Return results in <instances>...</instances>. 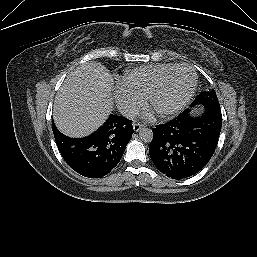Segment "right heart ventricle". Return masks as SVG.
Segmentation results:
<instances>
[{
  "label": "right heart ventricle",
  "instance_id": "obj_1",
  "mask_svg": "<svg viewBox=\"0 0 257 257\" xmlns=\"http://www.w3.org/2000/svg\"><path fill=\"white\" fill-rule=\"evenodd\" d=\"M174 64H154L128 71L120 80V88L146 99L157 79Z\"/></svg>",
  "mask_w": 257,
  "mask_h": 257
}]
</instances>
